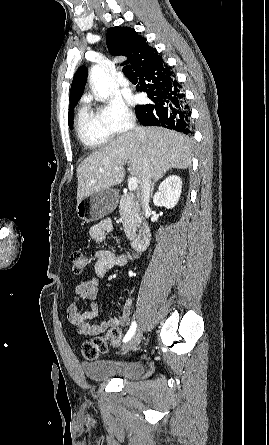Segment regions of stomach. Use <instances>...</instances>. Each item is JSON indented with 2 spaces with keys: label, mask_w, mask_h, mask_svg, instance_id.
Returning a JSON list of instances; mask_svg holds the SVG:
<instances>
[{
  "label": "stomach",
  "mask_w": 269,
  "mask_h": 445,
  "mask_svg": "<svg viewBox=\"0 0 269 445\" xmlns=\"http://www.w3.org/2000/svg\"><path fill=\"white\" fill-rule=\"evenodd\" d=\"M117 204L118 193L112 188H105L77 202L76 212L81 220L93 222L111 213Z\"/></svg>",
  "instance_id": "stomach-1"
}]
</instances>
